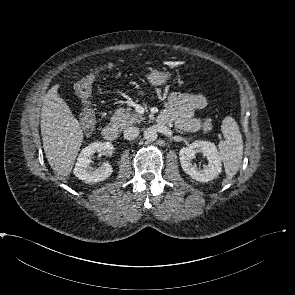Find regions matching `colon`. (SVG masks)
Instances as JSON below:
<instances>
[{
    "mask_svg": "<svg viewBox=\"0 0 295 295\" xmlns=\"http://www.w3.org/2000/svg\"><path fill=\"white\" fill-rule=\"evenodd\" d=\"M95 78V74H91L84 80V94L89 95L92 90V82ZM80 123L85 132H90L94 129L96 123L95 113L92 109L86 108L81 114Z\"/></svg>",
    "mask_w": 295,
    "mask_h": 295,
    "instance_id": "5ec220e1",
    "label": "colon"
}]
</instances>
